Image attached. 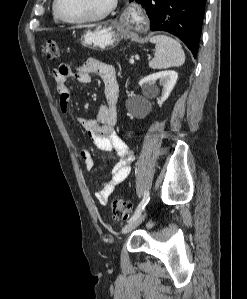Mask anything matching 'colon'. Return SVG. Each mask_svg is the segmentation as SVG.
I'll use <instances>...</instances> for the list:
<instances>
[{"instance_id":"1","label":"colon","mask_w":247,"mask_h":299,"mask_svg":"<svg viewBox=\"0 0 247 299\" xmlns=\"http://www.w3.org/2000/svg\"><path fill=\"white\" fill-rule=\"evenodd\" d=\"M45 56L50 60H55L59 57V47L55 40L49 39L44 44ZM131 203L122 198H115L111 202L113 215L118 219H126L131 210Z\"/></svg>"}]
</instances>
